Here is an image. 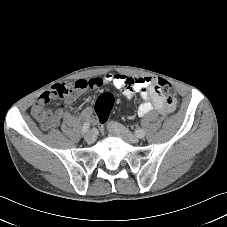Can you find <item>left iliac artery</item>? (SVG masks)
Listing matches in <instances>:
<instances>
[{
    "instance_id": "left-iliac-artery-1",
    "label": "left iliac artery",
    "mask_w": 227,
    "mask_h": 227,
    "mask_svg": "<svg viewBox=\"0 0 227 227\" xmlns=\"http://www.w3.org/2000/svg\"><path fill=\"white\" fill-rule=\"evenodd\" d=\"M136 136L139 138H143L145 136V130L144 129H138L136 130Z\"/></svg>"
}]
</instances>
